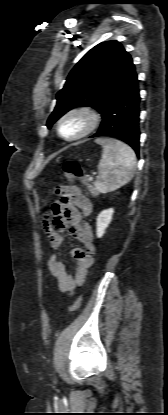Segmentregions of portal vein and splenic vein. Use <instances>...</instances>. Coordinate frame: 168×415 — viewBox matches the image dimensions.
Listing matches in <instances>:
<instances>
[{
    "instance_id": "portal-vein-and-splenic-vein-1",
    "label": "portal vein and splenic vein",
    "mask_w": 168,
    "mask_h": 415,
    "mask_svg": "<svg viewBox=\"0 0 168 415\" xmlns=\"http://www.w3.org/2000/svg\"><path fill=\"white\" fill-rule=\"evenodd\" d=\"M89 179H90V180H92V179H93V177H90Z\"/></svg>"
}]
</instances>
